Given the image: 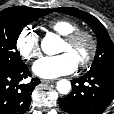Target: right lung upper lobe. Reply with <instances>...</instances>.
<instances>
[{
	"label": "right lung upper lobe",
	"mask_w": 114,
	"mask_h": 114,
	"mask_svg": "<svg viewBox=\"0 0 114 114\" xmlns=\"http://www.w3.org/2000/svg\"><path fill=\"white\" fill-rule=\"evenodd\" d=\"M33 9H36V8H30V7H24V6H15V7H10V8L4 9L0 13H2V14H13L14 15V14L26 13V12H29Z\"/></svg>",
	"instance_id": "obj_1"
}]
</instances>
